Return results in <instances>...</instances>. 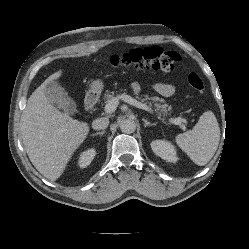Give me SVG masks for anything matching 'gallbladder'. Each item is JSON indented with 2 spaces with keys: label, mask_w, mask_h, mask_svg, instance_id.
<instances>
[{
  "label": "gallbladder",
  "mask_w": 249,
  "mask_h": 249,
  "mask_svg": "<svg viewBox=\"0 0 249 249\" xmlns=\"http://www.w3.org/2000/svg\"><path fill=\"white\" fill-rule=\"evenodd\" d=\"M45 96L55 107L68 114L76 112V103L69 97L66 90L56 81H50L45 87Z\"/></svg>",
  "instance_id": "gallbladder-1"
}]
</instances>
